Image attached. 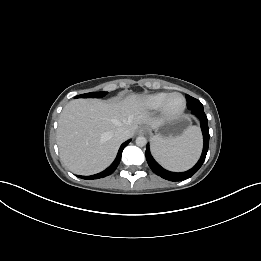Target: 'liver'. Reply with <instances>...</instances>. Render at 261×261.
<instances>
[{
	"instance_id": "6515ba94",
	"label": "liver",
	"mask_w": 261,
	"mask_h": 261,
	"mask_svg": "<svg viewBox=\"0 0 261 261\" xmlns=\"http://www.w3.org/2000/svg\"><path fill=\"white\" fill-rule=\"evenodd\" d=\"M162 123V119L149 117L136 94L121 101L72 100L62 110L58 121L60 158L75 174H96L112 163L119 146L126 140L115 137L118 129H126L128 139L138 125L147 124L155 129Z\"/></svg>"
}]
</instances>
